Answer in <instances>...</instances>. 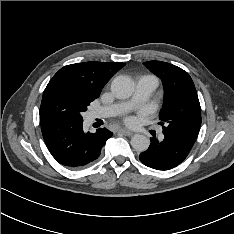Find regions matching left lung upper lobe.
<instances>
[{"mask_svg":"<svg viewBox=\"0 0 234 234\" xmlns=\"http://www.w3.org/2000/svg\"><path fill=\"white\" fill-rule=\"evenodd\" d=\"M144 65L163 82L164 104L159 124L163 132L173 134L193 146L201 126V107L194 83L183 69L162 61H148Z\"/></svg>","mask_w":234,"mask_h":234,"instance_id":"5c2ea615","label":"left lung upper lobe"}]
</instances>
